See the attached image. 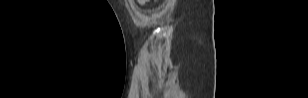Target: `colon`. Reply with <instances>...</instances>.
<instances>
[{
  "label": "colon",
  "instance_id": "5ec220e1",
  "mask_svg": "<svg viewBox=\"0 0 308 98\" xmlns=\"http://www.w3.org/2000/svg\"><path fill=\"white\" fill-rule=\"evenodd\" d=\"M148 0H140L141 3H145L147 2Z\"/></svg>",
  "mask_w": 308,
  "mask_h": 98
}]
</instances>
